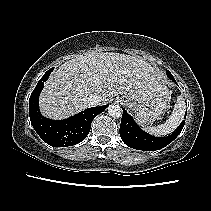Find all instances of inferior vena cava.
Masks as SVG:
<instances>
[{
    "mask_svg": "<svg viewBox=\"0 0 211 211\" xmlns=\"http://www.w3.org/2000/svg\"><path fill=\"white\" fill-rule=\"evenodd\" d=\"M102 96L101 95H93L92 97L88 98V103L90 106H96L102 104Z\"/></svg>",
    "mask_w": 211,
    "mask_h": 211,
    "instance_id": "inferior-vena-cava-1",
    "label": "inferior vena cava"
}]
</instances>
